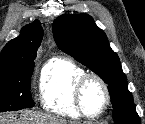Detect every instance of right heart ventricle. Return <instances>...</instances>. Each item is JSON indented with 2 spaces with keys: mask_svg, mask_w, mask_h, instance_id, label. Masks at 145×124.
<instances>
[{
  "mask_svg": "<svg viewBox=\"0 0 145 124\" xmlns=\"http://www.w3.org/2000/svg\"><path fill=\"white\" fill-rule=\"evenodd\" d=\"M86 71L65 58H53L44 66L39 84V96L43 108L66 118L81 117L74 100L76 82Z\"/></svg>",
  "mask_w": 145,
  "mask_h": 124,
  "instance_id": "obj_1",
  "label": "right heart ventricle"
}]
</instances>
